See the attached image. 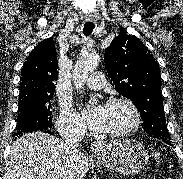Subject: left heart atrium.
<instances>
[{
  "mask_svg": "<svg viewBox=\"0 0 183 179\" xmlns=\"http://www.w3.org/2000/svg\"><path fill=\"white\" fill-rule=\"evenodd\" d=\"M85 119L93 130L101 131L105 120V106L100 105L93 110H86Z\"/></svg>",
  "mask_w": 183,
  "mask_h": 179,
  "instance_id": "left-heart-atrium-1",
  "label": "left heart atrium"
}]
</instances>
